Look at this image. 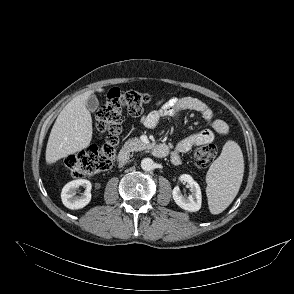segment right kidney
Here are the masks:
<instances>
[{
    "instance_id": "obj_1",
    "label": "right kidney",
    "mask_w": 294,
    "mask_h": 294,
    "mask_svg": "<svg viewBox=\"0 0 294 294\" xmlns=\"http://www.w3.org/2000/svg\"><path fill=\"white\" fill-rule=\"evenodd\" d=\"M83 186L86 188L83 196H75L77 188ZM91 182L86 179H77L67 183L61 192V199L69 209H81L91 201Z\"/></svg>"
}]
</instances>
